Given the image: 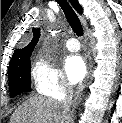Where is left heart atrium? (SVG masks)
Wrapping results in <instances>:
<instances>
[{"instance_id": "1", "label": "left heart atrium", "mask_w": 122, "mask_h": 123, "mask_svg": "<svg viewBox=\"0 0 122 123\" xmlns=\"http://www.w3.org/2000/svg\"><path fill=\"white\" fill-rule=\"evenodd\" d=\"M66 75L73 84L80 82L86 75V65L79 55H71L64 64Z\"/></svg>"}]
</instances>
